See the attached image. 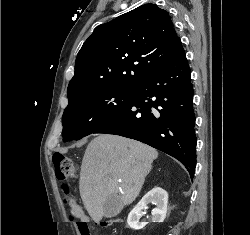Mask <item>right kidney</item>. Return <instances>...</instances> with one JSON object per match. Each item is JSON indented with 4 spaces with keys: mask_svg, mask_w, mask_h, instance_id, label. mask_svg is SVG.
<instances>
[{
    "mask_svg": "<svg viewBox=\"0 0 250 235\" xmlns=\"http://www.w3.org/2000/svg\"><path fill=\"white\" fill-rule=\"evenodd\" d=\"M149 203L155 205V208L152 210V221L157 223L164 221L167 212L168 193L160 187H154L129 213L127 223L130 228L139 230L145 226V223L139 222V219L141 211L147 208Z\"/></svg>",
    "mask_w": 250,
    "mask_h": 235,
    "instance_id": "right-kidney-1",
    "label": "right kidney"
}]
</instances>
